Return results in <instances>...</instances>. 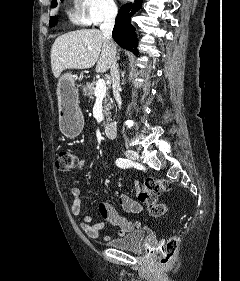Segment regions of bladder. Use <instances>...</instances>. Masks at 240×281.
I'll return each instance as SVG.
<instances>
[{"mask_svg": "<svg viewBox=\"0 0 240 281\" xmlns=\"http://www.w3.org/2000/svg\"><path fill=\"white\" fill-rule=\"evenodd\" d=\"M146 239V231L142 229H137L131 231L130 233L122 237L112 239L107 244L113 248H117L120 250L137 251L143 247Z\"/></svg>", "mask_w": 240, "mask_h": 281, "instance_id": "bladder-1", "label": "bladder"}]
</instances>
